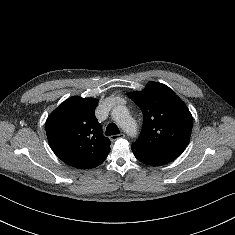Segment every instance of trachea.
<instances>
[{
  "label": "trachea",
  "mask_w": 235,
  "mask_h": 235,
  "mask_svg": "<svg viewBox=\"0 0 235 235\" xmlns=\"http://www.w3.org/2000/svg\"><path fill=\"white\" fill-rule=\"evenodd\" d=\"M119 133H120L119 128L117 127V125L115 123H110L106 128V135L107 136L117 135Z\"/></svg>",
  "instance_id": "obj_1"
}]
</instances>
